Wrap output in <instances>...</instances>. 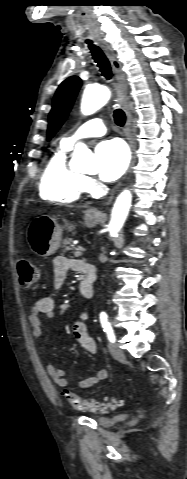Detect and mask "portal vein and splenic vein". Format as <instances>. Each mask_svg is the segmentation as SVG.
Segmentation results:
<instances>
[{
  "instance_id": "obj_1",
  "label": "portal vein and splenic vein",
  "mask_w": 187,
  "mask_h": 479,
  "mask_svg": "<svg viewBox=\"0 0 187 479\" xmlns=\"http://www.w3.org/2000/svg\"><path fill=\"white\" fill-rule=\"evenodd\" d=\"M76 250H77V253L86 251V249L83 246H77Z\"/></svg>"
}]
</instances>
